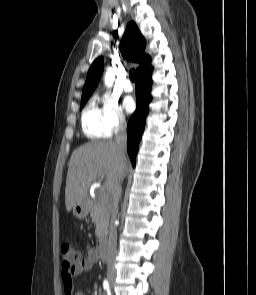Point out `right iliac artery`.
<instances>
[{"label":"right iliac artery","instance_id":"82829eb1","mask_svg":"<svg viewBox=\"0 0 256 295\" xmlns=\"http://www.w3.org/2000/svg\"><path fill=\"white\" fill-rule=\"evenodd\" d=\"M103 288H104V290H109V283L106 279L103 282Z\"/></svg>","mask_w":256,"mask_h":295}]
</instances>
